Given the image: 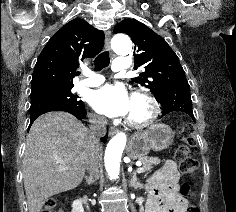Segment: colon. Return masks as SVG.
Listing matches in <instances>:
<instances>
[{"instance_id":"5ec220e1","label":"colon","mask_w":236,"mask_h":212,"mask_svg":"<svg viewBox=\"0 0 236 212\" xmlns=\"http://www.w3.org/2000/svg\"><path fill=\"white\" fill-rule=\"evenodd\" d=\"M181 145L175 152V160L179 164L180 170L185 175H193L197 171V158L194 155L196 149V141L194 137L193 127L190 124H185L180 132ZM181 192L184 196L194 197L195 190L191 183L185 182L182 185ZM56 202L53 199H48L42 209V212H54ZM188 212H199L197 206L190 205Z\"/></svg>"}]
</instances>
